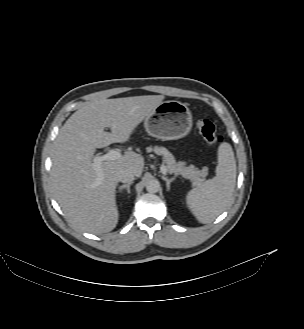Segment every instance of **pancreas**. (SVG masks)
Returning a JSON list of instances; mask_svg holds the SVG:
<instances>
[{
	"instance_id": "obj_1",
	"label": "pancreas",
	"mask_w": 304,
	"mask_h": 329,
	"mask_svg": "<svg viewBox=\"0 0 304 329\" xmlns=\"http://www.w3.org/2000/svg\"><path fill=\"white\" fill-rule=\"evenodd\" d=\"M147 151L163 155L167 171L175 176L181 175L183 178L190 180L193 186L200 185L208 174L207 167L199 169L195 165L185 166V162H176L172 153L165 147H148Z\"/></svg>"
}]
</instances>
